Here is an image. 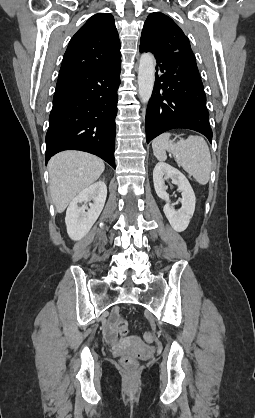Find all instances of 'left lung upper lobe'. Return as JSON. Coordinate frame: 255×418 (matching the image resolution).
I'll return each instance as SVG.
<instances>
[{
  "label": "left lung upper lobe",
  "mask_w": 255,
  "mask_h": 418,
  "mask_svg": "<svg viewBox=\"0 0 255 418\" xmlns=\"http://www.w3.org/2000/svg\"><path fill=\"white\" fill-rule=\"evenodd\" d=\"M139 49L155 56L193 54L189 39L181 28L161 12L151 13L146 19Z\"/></svg>",
  "instance_id": "left-lung-upper-lobe-1"
}]
</instances>
